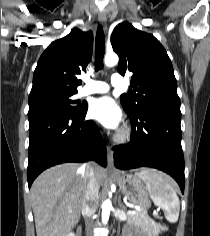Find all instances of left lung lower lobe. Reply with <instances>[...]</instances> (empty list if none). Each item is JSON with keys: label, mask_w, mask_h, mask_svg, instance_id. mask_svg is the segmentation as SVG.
<instances>
[{"label": "left lung lower lobe", "mask_w": 210, "mask_h": 236, "mask_svg": "<svg viewBox=\"0 0 210 236\" xmlns=\"http://www.w3.org/2000/svg\"><path fill=\"white\" fill-rule=\"evenodd\" d=\"M130 142L113 148L119 169L153 167L171 175L184 193V157L179 108L152 106L130 116Z\"/></svg>", "instance_id": "1"}]
</instances>
